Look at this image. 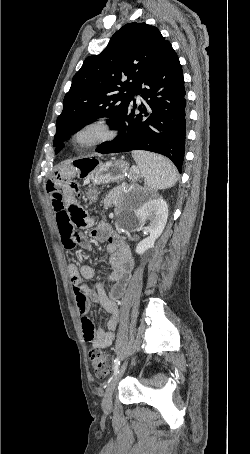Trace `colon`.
Returning <instances> with one entry per match:
<instances>
[{"mask_svg": "<svg viewBox=\"0 0 250 454\" xmlns=\"http://www.w3.org/2000/svg\"><path fill=\"white\" fill-rule=\"evenodd\" d=\"M86 199L95 202L99 196V190L95 186H88L85 191ZM89 358L96 376L103 378L111 372V358L99 349H92Z\"/></svg>", "mask_w": 250, "mask_h": 454, "instance_id": "obj_1", "label": "colon"}]
</instances>
